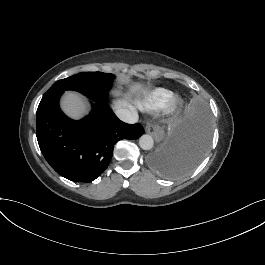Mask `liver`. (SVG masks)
Here are the masks:
<instances>
[{"mask_svg":"<svg viewBox=\"0 0 265 265\" xmlns=\"http://www.w3.org/2000/svg\"><path fill=\"white\" fill-rule=\"evenodd\" d=\"M62 105L65 112L73 118H80L87 111L86 104L82 101V99L78 95L74 93H68L64 97ZM124 107H128L126 101H119L116 105V108H124ZM131 110L134 109L131 107Z\"/></svg>","mask_w":265,"mask_h":265,"instance_id":"liver-1","label":"liver"}]
</instances>
